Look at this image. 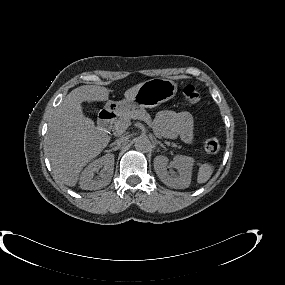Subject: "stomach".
I'll use <instances>...</instances> for the list:
<instances>
[{"label":"stomach","mask_w":285,"mask_h":285,"mask_svg":"<svg viewBox=\"0 0 285 285\" xmlns=\"http://www.w3.org/2000/svg\"><path fill=\"white\" fill-rule=\"evenodd\" d=\"M176 93L177 84L174 81L153 78L143 82L133 98H125L119 102L108 101L104 109L108 112L121 114L138 107L153 108L172 99Z\"/></svg>","instance_id":"1"}]
</instances>
